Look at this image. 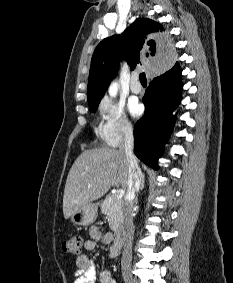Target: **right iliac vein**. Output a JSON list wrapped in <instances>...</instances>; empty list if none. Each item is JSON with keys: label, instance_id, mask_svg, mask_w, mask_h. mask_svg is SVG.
I'll list each match as a JSON object with an SVG mask.
<instances>
[{"label": "right iliac vein", "instance_id": "1", "mask_svg": "<svg viewBox=\"0 0 233 283\" xmlns=\"http://www.w3.org/2000/svg\"><path fill=\"white\" fill-rule=\"evenodd\" d=\"M124 281L125 283H135L132 276H130L129 274L124 275Z\"/></svg>", "mask_w": 233, "mask_h": 283}]
</instances>
